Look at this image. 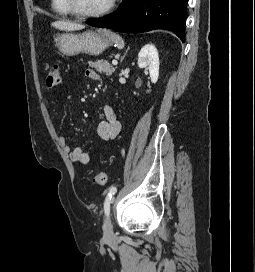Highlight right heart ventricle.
Listing matches in <instances>:
<instances>
[{
  "mask_svg": "<svg viewBox=\"0 0 255 272\" xmlns=\"http://www.w3.org/2000/svg\"><path fill=\"white\" fill-rule=\"evenodd\" d=\"M51 8L58 15L61 16L71 15V13L65 6L64 0H51Z\"/></svg>",
  "mask_w": 255,
  "mask_h": 272,
  "instance_id": "obj_1",
  "label": "right heart ventricle"
}]
</instances>
